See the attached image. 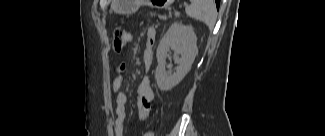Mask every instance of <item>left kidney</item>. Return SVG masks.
Returning a JSON list of instances; mask_svg holds the SVG:
<instances>
[{"mask_svg": "<svg viewBox=\"0 0 325 136\" xmlns=\"http://www.w3.org/2000/svg\"><path fill=\"white\" fill-rule=\"evenodd\" d=\"M196 42L197 36L191 26L174 23L169 27L162 37L156 52L158 65L155 78L161 91L171 90L190 71L198 53ZM170 49L174 50V59L178 64L174 73H169L165 69L166 58Z\"/></svg>", "mask_w": 325, "mask_h": 136, "instance_id": "1", "label": "left kidney"}]
</instances>
